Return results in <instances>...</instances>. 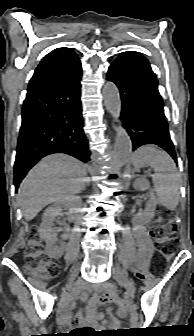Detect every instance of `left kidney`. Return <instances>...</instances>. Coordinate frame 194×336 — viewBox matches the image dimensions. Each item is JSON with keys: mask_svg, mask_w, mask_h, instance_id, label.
I'll return each mask as SVG.
<instances>
[{"mask_svg": "<svg viewBox=\"0 0 194 336\" xmlns=\"http://www.w3.org/2000/svg\"><path fill=\"white\" fill-rule=\"evenodd\" d=\"M134 188L138 191L146 190L150 187L149 181L144 178L135 180L133 184ZM156 202L154 199H149L146 203L144 211L139 212L133 219V222L140 225L147 224L155 216Z\"/></svg>", "mask_w": 194, "mask_h": 336, "instance_id": "1", "label": "left kidney"}]
</instances>
